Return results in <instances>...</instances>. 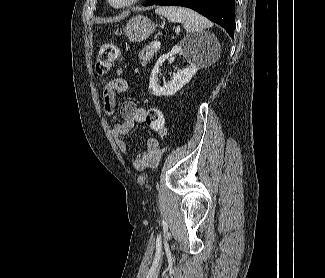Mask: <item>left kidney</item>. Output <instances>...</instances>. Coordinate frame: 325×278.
I'll return each instance as SVG.
<instances>
[{"label":"left kidney","mask_w":325,"mask_h":278,"mask_svg":"<svg viewBox=\"0 0 325 278\" xmlns=\"http://www.w3.org/2000/svg\"><path fill=\"white\" fill-rule=\"evenodd\" d=\"M207 46V41L201 36L185 37L180 44L172 48V50L162 55L151 72L149 91L155 96H172L178 92L185 84H187L192 77L199 70L200 61ZM176 54H182L190 65L182 70L177 71L172 76V79L164 86L158 85V74L160 66L163 62Z\"/></svg>","instance_id":"left-kidney-1"}]
</instances>
